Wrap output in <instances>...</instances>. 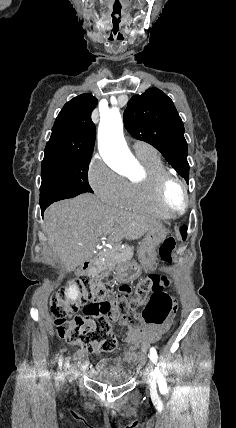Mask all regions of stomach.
<instances>
[{"mask_svg": "<svg viewBox=\"0 0 236 428\" xmlns=\"http://www.w3.org/2000/svg\"><path fill=\"white\" fill-rule=\"evenodd\" d=\"M167 236L166 228L163 224H157L152 230L147 232L144 240L138 250V258L140 262L127 260L124 264L117 266L116 278L123 286L128 287L131 283H135L136 279H141L142 269L157 268V248Z\"/></svg>", "mask_w": 236, "mask_h": 428, "instance_id": "stomach-1", "label": "stomach"}]
</instances>
